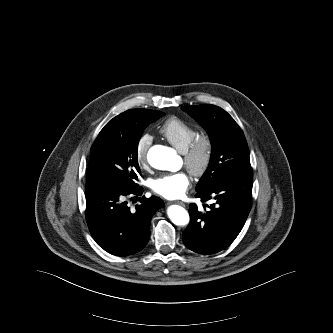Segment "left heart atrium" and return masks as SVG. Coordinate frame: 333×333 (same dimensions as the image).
<instances>
[{"mask_svg": "<svg viewBox=\"0 0 333 333\" xmlns=\"http://www.w3.org/2000/svg\"><path fill=\"white\" fill-rule=\"evenodd\" d=\"M189 185L188 175L185 172H177L153 179L151 189L166 199H178L185 195Z\"/></svg>", "mask_w": 333, "mask_h": 333, "instance_id": "39dd6f15", "label": "left heart atrium"}]
</instances>
